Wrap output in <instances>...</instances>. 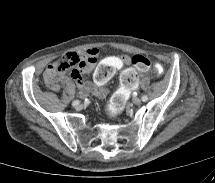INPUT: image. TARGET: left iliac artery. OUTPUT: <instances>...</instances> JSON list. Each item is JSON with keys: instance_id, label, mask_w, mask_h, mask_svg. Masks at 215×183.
I'll list each match as a JSON object with an SVG mask.
<instances>
[{"instance_id": "1", "label": "left iliac artery", "mask_w": 215, "mask_h": 183, "mask_svg": "<svg viewBox=\"0 0 215 183\" xmlns=\"http://www.w3.org/2000/svg\"><path fill=\"white\" fill-rule=\"evenodd\" d=\"M147 100H148V96H147V95H143V96H142V101L145 102V101H147Z\"/></svg>"}]
</instances>
